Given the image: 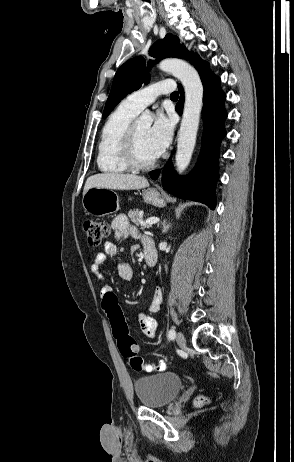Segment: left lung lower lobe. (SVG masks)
<instances>
[{"label": "left lung lower lobe", "mask_w": 294, "mask_h": 462, "mask_svg": "<svg viewBox=\"0 0 294 462\" xmlns=\"http://www.w3.org/2000/svg\"><path fill=\"white\" fill-rule=\"evenodd\" d=\"M204 85L203 107V137L202 150L198 164L192 173L186 177H179L169 161L162 172V186L169 193L182 198L191 199L215 208L216 199L214 187L218 177L219 146L226 135L223 122L227 117L224 108L226 95L220 88V78L209 69L204 62L196 67ZM180 100L176 111L181 115L184 104L183 88L179 87ZM151 178L156 179L159 171L150 172Z\"/></svg>", "instance_id": "obj_1"}]
</instances>
